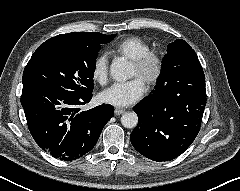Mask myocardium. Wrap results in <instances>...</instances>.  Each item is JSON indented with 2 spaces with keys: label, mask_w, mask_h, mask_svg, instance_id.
<instances>
[{
  "label": "myocardium",
  "mask_w": 240,
  "mask_h": 191,
  "mask_svg": "<svg viewBox=\"0 0 240 191\" xmlns=\"http://www.w3.org/2000/svg\"><path fill=\"white\" fill-rule=\"evenodd\" d=\"M133 65L148 87L157 85L162 78L164 59L159 52L150 50L138 59L133 60Z\"/></svg>",
  "instance_id": "myocardium-1"
}]
</instances>
